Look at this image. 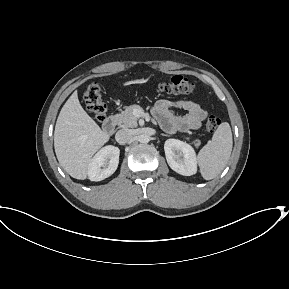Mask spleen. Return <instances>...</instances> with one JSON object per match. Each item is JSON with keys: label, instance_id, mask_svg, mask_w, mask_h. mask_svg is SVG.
Masks as SVG:
<instances>
[{"label": "spleen", "instance_id": "obj_1", "mask_svg": "<svg viewBox=\"0 0 289 289\" xmlns=\"http://www.w3.org/2000/svg\"><path fill=\"white\" fill-rule=\"evenodd\" d=\"M233 147L232 132L229 123H221L214 132L211 141L198 153L197 161L200 173L205 180L217 177L226 167Z\"/></svg>", "mask_w": 289, "mask_h": 289}]
</instances>
